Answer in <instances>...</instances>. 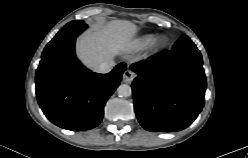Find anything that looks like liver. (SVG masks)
<instances>
[{"instance_id": "6515ba94", "label": "liver", "mask_w": 248, "mask_h": 158, "mask_svg": "<svg viewBox=\"0 0 248 158\" xmlns=\"http://www.w3.org/2000/svg\"><path fill=\"white\" fill-rule=\"evenodd\" d=\"M136 32L137 26L127 20L98 25L79 38L77 55L88 68L96 71L100 63L129 50Z\"/></svg>"}]
</instances>
